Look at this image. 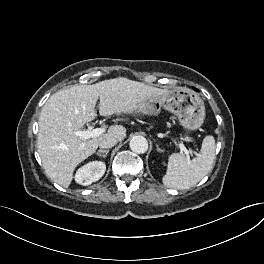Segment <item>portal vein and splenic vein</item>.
I'll return each mask as SVG.
<instances>
[{"label": "portal vein and splenic vein", "instance_id": "18ae733b", "mask_svg": "<svg viewBox=\"0 0 264 264\" xmlns=\"http://www.w3.org/2000/svg\"><path fill=\"white\" fill-rule=\"evenodd\" d=\"M103 132H105L104 128H95L93 130H78L74 131L73 134L83 140H88L90 138H96L100 136ZM83 147V144H81V148ZM180 150L184 152L187 159H190V155H193V152L188 150L183 143H179Z\"/></svg>", "mask_w": 264, "mask_h": 264}]
</instances>
